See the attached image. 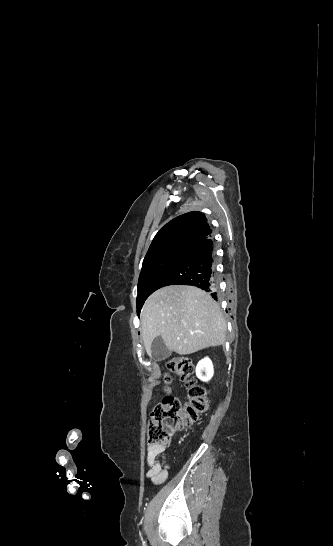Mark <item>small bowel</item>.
Returning a JSON list of instances; mask_svg holds the SVG:
<instances>
[{"mask_svg":"<svg viewBox=\"0 0 333 546\" xmlns=\"http://www.w3.org/2000/svg\"><path fill=\"white\" fill-rule=\"evenodd\" d=\"M166 459V448L161 445H149L146 454V464L148 471L146 476L156 485H160L165 482L169 475L170 465L160 460Z\"/></svg>","mask_w":333,"mask_h":546,"instance_id":"c3829d8e","label":"small bowel"}]
</instances>
